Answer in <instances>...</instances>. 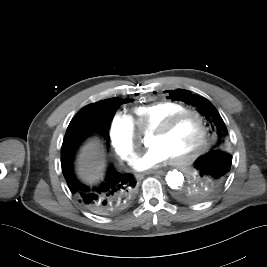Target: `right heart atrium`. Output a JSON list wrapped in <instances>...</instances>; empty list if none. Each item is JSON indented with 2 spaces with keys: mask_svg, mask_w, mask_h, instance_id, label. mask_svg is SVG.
<instances>
[{
  "mask_svg": "<svg viewBox=\"0 0 267 267\" xmlns=\"http://www.w3.org/2000/svg\"><path fill=\"white\" fill-rule=\"evenodd\" d=\"M110 138L117 156L132 163L137 155L139 134L129 116L118 112L112 117Z\"/></svg>",
  "mask_w": 267,
  "mask_h": 267,
  "instance_id": "d8ad5b80",
  "label": "right heart atrium"
}]
</instances>
